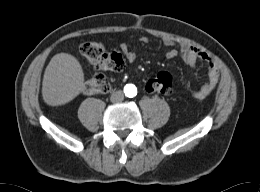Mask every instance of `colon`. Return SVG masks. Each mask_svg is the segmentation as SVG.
Instances as JSON below:
<instances>
[{
  "instance_id": "1",
  "label": "colon",
  "mask_w": 260,
  "mask_h": 192,
  "mask_svg": "<svg viewBox=\"0 0 260 192\" xmlns=\"http://www.w3.org/2000/svg\"><path fill=\"white\" fill-rule=\"evenodd\" d=\"M80 53L97 71H121L125 62L121 54L108 52L100 41H89L80 45ZM110 83L103 74H98L84 84V91L89 95L105 94L110 90ZM145 89L150 94L169 95L173 89V78L168 72H159L146 83Z\"/></svg>"
}]
</instances>
